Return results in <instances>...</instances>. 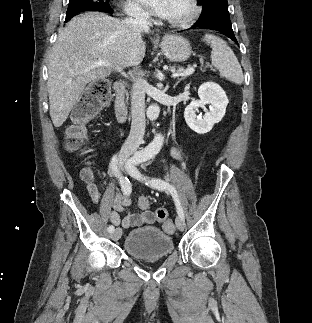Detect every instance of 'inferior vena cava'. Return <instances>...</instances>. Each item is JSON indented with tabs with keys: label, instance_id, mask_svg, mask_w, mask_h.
<instances>
[{
	"label": "inferior vena cava",
	"instance_id": "inferior-vena-cava-1",
	"mask_svg": "<svg viewBox=\"0 0 312 323\" xmlns=\"http://www.w3.org/2000/svg\"><path fill=\"white\" fill-rule=\"evenodd\" d=\"M123 22L128 28H131L137 44H141L142 32H147L151 26L147 12H143L140 8L131 10L128 18H125ZM136 66H139V64H136ZM146 86L147 82L142 80V78H136L133 84L131 92L132 124L130 134L124 144V148H128V150H137L144 138L146 124L144 108Z\"/></svg>",
	"mask_w": 312,
	"mask_h": 323
}]
</instances>
